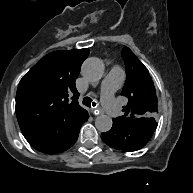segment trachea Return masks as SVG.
<instances>
[{
  "mask_svg": "<svg viewBox=\"0 0 193 193\" xmlns=\"http://www.w3.org/2000/svg\"><path fill=\"white\" fill-rule=\"evenodd\" d=\"M83 104L86 105L87 107H91V106L95 107L96 106V103L93 102V100L90 97H85L83 99Z\"/></svg>",
  "mask_w": 193,
  "mask_h": 193,
  "instance_id": "1",
  "label": "trachea"
}]
</instances>
